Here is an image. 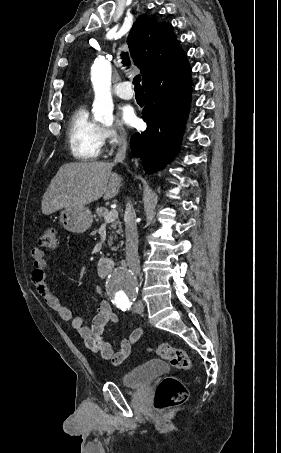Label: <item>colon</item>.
<instances>
[{"instance_id":"5ec220e1","label":"colon","mask_w":281,"mask_h":453,"mask_svg":"<svg viewBox=\"0 0 281 453\" xmlns=\"http://www.w3.org/2000/svg\"><path fill=\"white\" fill-rule=\"evenodd\" d=\"M59 232L58 226H46L44 232L38 240L37 245H41L42 250L54 249L56 238ZM152 351L163 361L182 370L186 374L194 372L188 354L170 345H161L152 348ZM189 393L180 378L176 374H168L157 384L154 396V408L159 412H165L188 400Z\"/></svg>"}]
</instances>
